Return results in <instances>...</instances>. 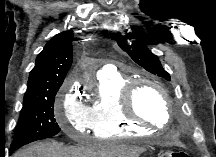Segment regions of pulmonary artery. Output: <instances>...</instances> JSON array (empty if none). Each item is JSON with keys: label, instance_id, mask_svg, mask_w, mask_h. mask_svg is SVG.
<instances>
[{"label": "pulmonary artery", "instance_id": "e3ab8cb5", "mask_svg": "<svg viewBox=\"0 0 216 157\" xmlns=\"http://www.w3.org/2000/svg\"><path fill=\"white\" fill-rule=\"evenodd\" d=\"M116 69L113 65H105L97 72V77L102 78L115 74Z\"/></svg>", "mask_w": 216, "mask_h": 157}]
</instances>
